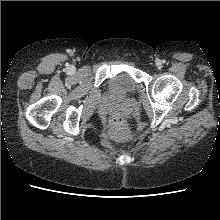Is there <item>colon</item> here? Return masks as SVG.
I'll list each match as a JSON object with an SVG mask.
<instances>
[{
  "mask_svg": "<svg viewBox=\"0 0 220 220\" xmlns=\"http://www.w3.org/2000/svg\"><path fill=\"white\" fill-rule=\"evenodd\" d=\"M111 134L119 141H127L131 137L129 129L120 117H115L113 119L111 124Z\"/></svg>",
  "mask_w": 220,
  "mask_h": 220,
  "instance_id": "colon-1",
  "label": "colon"
}]
</instances>
